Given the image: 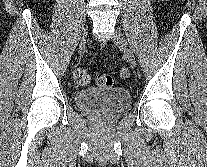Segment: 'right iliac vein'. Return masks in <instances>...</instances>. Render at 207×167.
Instances as JSON below:
<instances>
[{
  "label": "right iliac vein",
  "instance_id": "right-iliac-vein-1",
  "mask_svg": "<svg viewBox=\"0 0 207 167\" xmlns=\"http://www.w3.org/2000/svg\"><path fill=\"white\" fill-rule=\"evenodd\" d=\"M87 34H88V31L85 30L83 33V38H82L81 43L79 45V51H82L85 47V41H86Z\"/></svg>",
  "mask_w": 207,
  "mask_h": 167
}]
</instances>
